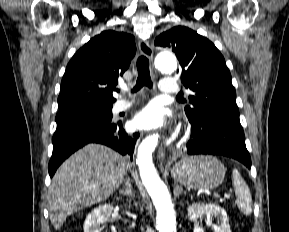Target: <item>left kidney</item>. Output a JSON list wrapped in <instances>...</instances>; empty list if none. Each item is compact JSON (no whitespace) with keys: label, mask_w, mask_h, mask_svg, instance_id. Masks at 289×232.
I'll return each mask as SVG.
<instances>
[{"label":"left kidney","mask_w":289,"mask_h":232,"mask_svg":"<svg viewBox=\"0 0 289 232\" xmlns=\"http://www.w3.org/2000/svg\"><path fill=\"white\" fill-rule=\"evenodd\" d=\"M205 214L208 218L215 217L217 224H212L214 232H231L229 219L225 210L214 203H193L188 207V216L194 222V232H204L203 227L197 222L198 218Z\"/></svg>","instance_id":"left-kidney-1"}]
</instances>
